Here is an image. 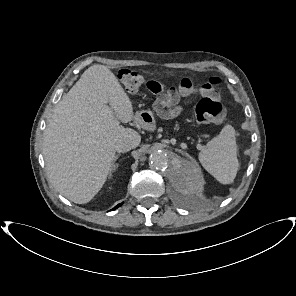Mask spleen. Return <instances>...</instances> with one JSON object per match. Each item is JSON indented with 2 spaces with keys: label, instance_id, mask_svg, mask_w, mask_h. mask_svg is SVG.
<instances>
[{
  "label": "spleen",
  "instance_id": "obj_1",
  "mask_svg": "<svg viewBox=\"0 0 296 296\" xmlns=\"http://www.w3.org/2000/svg\"><path fill=\"white\" fill-rule=\"evenodd\" d=\"M199 161L220 183L233 182L239 163L235 130L231 125H225L220 134L203 147L199 153Z\"/></svg>",
  "mask_w": 296,
  "mask_h": 296
}]
</instances>
